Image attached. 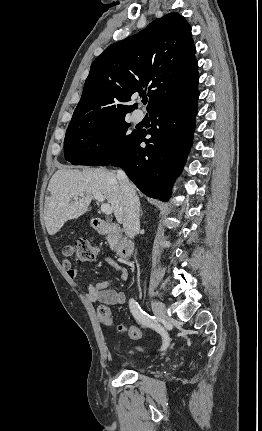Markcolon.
<instances>
[{"mask_svg": "<svg viewBox=\"0 0 262 431\" xmlns=\"http://www.w3.org/2000/svg\"><path fill=\"white\" fill-rule=\"evenodd\" d=\"M97 253V247L88 239L74 240L63 247V255L65 257H73L77 263L91 262L96 258ZM99 317L105 326H113V319L106 310L101 311ZM118 329L121 332H126L128 337L133 340H138L143 336L142 330L135 326H119Z\"/></svg>", "mask_w": 262, "mask_h": 431, "instance_id": "5ec220e1", "label": "colon"}]
</instances>
